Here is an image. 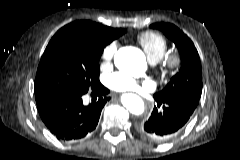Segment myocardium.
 I'll use <instances>...</instances> for the list:
<instances>
[{"mask_svg":"<svg viewBox=\"0 0 240 160\" xmlns=\"http://www.w3.org/2000/svg\"><path fill=\"white\" fill-rule=\"evenodd\" d=\"M181 58L177 53L170 54L161 65L163 76L167 78L174 77L180 70Z\"/></svg>","mask_w":240,"mask_h":160,"instance_id":"f54148a6","label":"myocardium"}]
</instances>
